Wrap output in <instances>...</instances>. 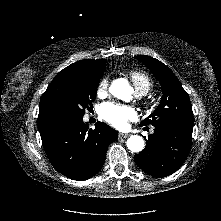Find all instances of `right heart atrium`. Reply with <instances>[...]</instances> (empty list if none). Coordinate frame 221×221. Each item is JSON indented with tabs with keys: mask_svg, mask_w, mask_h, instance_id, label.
Here are the masks:
<instances>
[{
	"mask_svg": "<svg viewBox=\"0 0 221 221\" xmlns=\"http://www.w3.org/2000/svg\"><path fill=\"white\" fill-rule=\"evenodd\" d=\"M110 86V80L108 76H104L98 85V93H105L108 91Z\"/></svg>",
	"mask_w": 221,
	"mask_h": 221,
	"instance_id": "right-heart-atrium-1",
	"label": "right heart atrium"
}]
</instances>
